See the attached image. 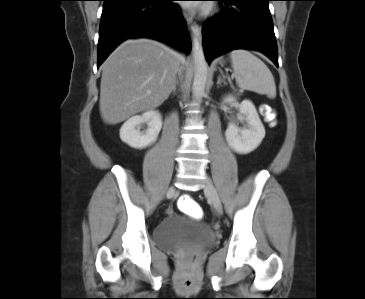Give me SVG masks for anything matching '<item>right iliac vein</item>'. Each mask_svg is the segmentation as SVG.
<instances>
[{
    "instance_id": "right-iliac-vein-1",
    "label": "right iliac vein",
    "mask_w": 365,
    "mask_h": 299,
    "mask_svg": "<svg viewBox=\"0 0 365 299\" xmlns=\"http://www.w3.org/2000/svg\"><path fill=\"white\" fill-rule=\"evenodd\" d=\"M175 192V188L172 186L168 189V195H172Z\"/></svg>"
}]
</instances>
